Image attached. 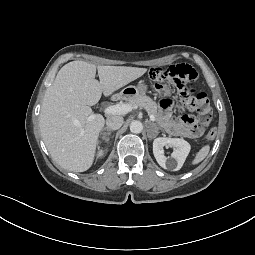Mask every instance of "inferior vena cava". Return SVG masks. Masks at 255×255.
<instances>
[{
  "label": "inferior vena cava",
  "mask_w": 255,
  "mask_h": 255,
  "mask_svg": "<svg viewBox=\"0 0 255 255\" xmlns=\"http://www.w3.org/2000/svg\"><path fill=\"white\" fill-rule=\"evenodd\" d=\"M106 125L112 130H117L123 125V118L121 116H110L106 120Z\"/></svg>",
  "instance_id": "602c4592"
}]
</instances>
